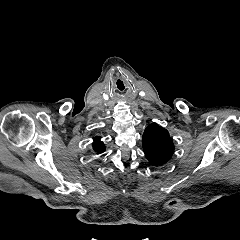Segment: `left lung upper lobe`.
Masks as SVG:
<instances>
[{
    "instance_id": "obj_1",
    "label": "left lung upper lobe",
    "mask_w": 240,
    "mask_h": 240,
    "mask_svg": "<svg viewBox=\"0 0 240 240\" xmlns=\"http://www.w3.org/2000/svg\"><path fill=\"white\" fill-rule=\"evenodd\" d=\"M142 143L145 156L153 166L167 163L174 153L173 140L169 132L156 123L150 124L145 129Z\"/></svg>"
}]
</instances>
